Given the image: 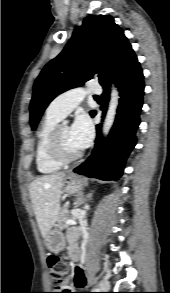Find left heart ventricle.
Masks as SVG:
<instances>
[{
  "instance_id": "1",
  "label": "left heart ventricle",
  "mask_w": 170,
  "mask_h": 293,
  "mask_svg": "<svg viewBox=\"0 0 170 293\" xmlns=\"http://www.w3.org/2000/svg\"><path fill=\"white\" fill-rule=\"evenodd\" d=\"M59 141L61 144V149L65 155H72L80 150L73 143L70 130L66 125H62L59 130Z\"/></svg>"
}]
</instances>
